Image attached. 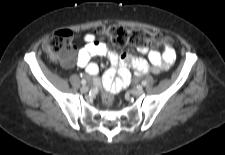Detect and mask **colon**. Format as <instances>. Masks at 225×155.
Returning <instances> with one entry per match:
<instances>
[{"label": "colon", "mask_w": 225, "mask_h": 155, "mask_svg": "<svg viewBox=\"0 0 225 155\" xmlns=\"http://www.w3.org/2000/svg\"><path fill=\"white\" fill-rule=\"evenodd\" d=\"M95 33L102 38H108L118 46L134 45L137 47L153 44L155 46H171V39L160 33L152 32L146 29H128L124 26L113 24L109 26H100ZM73 34L70 30L63 29L49 36L44 44V50L53 60H62L63 62H73ZM102 101L109 105L112 103V93L104 91Z\"/></svg>", "instance_id": "colon-1"}]
</instances>
